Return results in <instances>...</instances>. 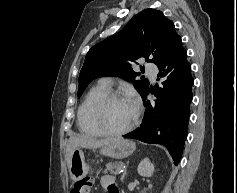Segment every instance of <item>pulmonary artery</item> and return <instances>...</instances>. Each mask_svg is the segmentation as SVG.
Masks as SVG:
<instances>
[{
  "label": "pulmonary artery",
  "mask_w": 237,
  "mask_h": 193,
  "mask_svg": "<svg viewBox=\"0 0 237 193\" xmlns=\"http://www.w3.org/2000/svg\"><path fill=\"white\" fill-rule=\"evenodd\" d=\"M145 71H146V73H147L148 75H150L152 78H154L155 75L157 74L158 69H157V66H156V65H154V64H152V63H148V64H146V66H145ZM101 83H102L103 85L107 86V87H110V86H111V81H110V79H108V78L102 79Z\"/></svg>",
  "instance_id": "pulmonary-artery-1"
}]
</instances>
